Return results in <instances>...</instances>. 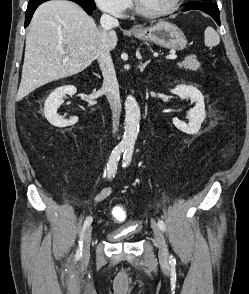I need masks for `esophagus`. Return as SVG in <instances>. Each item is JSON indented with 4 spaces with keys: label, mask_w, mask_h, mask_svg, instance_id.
Wrapping results in <instances>:
<instances>
[{
    "label": "esophagus",
    "mask_w": 249,
    "mask_h": 294,
    "mask_svg": "<svg viewBox=\"0 0 249 294\" xmlns=\"http://www.w3.org/2000/svg\"><path fill=\"white\" fill-rule=\"evenodd\" d=\"M140 29L139 28H133V31H139Z\"/></svg>",
    "instance_id": "obj_1"
}]
</instances>
